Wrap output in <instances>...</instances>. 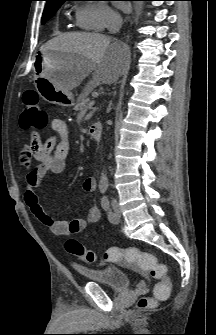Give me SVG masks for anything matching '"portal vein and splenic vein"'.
<instances>
[{
    "mask_svg": "<svg viewBox=\"0 0 216 335\" xmlns=\"http://www.w3.org/2000/svg\"><path fill=\"white\" fill-rule=\"evenodd\" d=\"M95 102H96L95 100L90 101L89 104H88L89 108H91L92 106H94Z\"/></svg>",
    "mask_w": 216,
    "mask_h": 335,
    "instance_id": "1",
    "label": "portal vein and splenic vein"
}]
</instances>
